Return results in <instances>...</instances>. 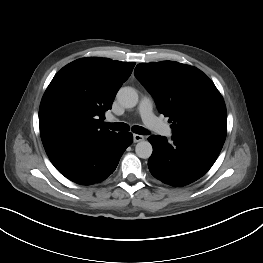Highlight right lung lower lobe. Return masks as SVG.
I'll return each mask as SVG.
<instances>
[{
	"instance_id": "obj_1",
	"label": "right lung lower lobe",
	"mask_w": 263,
	"mask_h": 263,
	"mask_svg": "<svg viewBox=\"0 0 263 263\" xmlns=\"http://www.w3.org/2000/svg\"><path fill=\"white\" fill-rule=\"evenodd\" d=\"M132 141L131 133H115L104 139L75 144L49 158L69 180L90 185L102 182L114 172Z\"/></svg>"
}]
</instances>
